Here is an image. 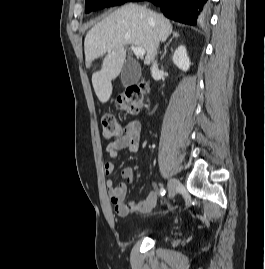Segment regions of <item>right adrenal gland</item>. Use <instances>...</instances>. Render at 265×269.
<instances>
[{
  "label": "right adrenal gland",
  "mask_w": 265,
  "mask_h": 269,
  "mask_svg": "<svg viewBox=\"0 0 265 269\" xmlns=\"http://www.w3.org/2000/svg\"><path fill=\"white\" fill-rule=\"evenodd\" d=\"M179 37V33L178 32H172V38L168 41V43L164 46V53H163V55L161 56V60L164 58V56H165V54H166V49H167V47L170 45V43L172 42V40L174 39V38H178Z\"/></svg>",
  "instance_id": "obj_1"
}]
</instances>
